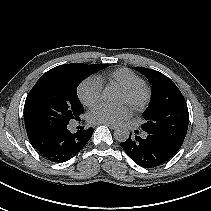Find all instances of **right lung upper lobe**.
Instances as JSON below:
<instances>
[{
    "label": "right lung upper lobe",
    "mask_w": 211,
    "mask_h": 211,
    "mask_svg": "<svg viewBox=\"0 0 211 211\" xmlns=\"http://www.w3.org/2000/svg\"><path fill=\"white\" fill-rule=\"evenodd\" d=\"M77 63L59 65L44 73L41 77H60L73 70Z\"/></svg>",
    "instance_id": "right-lung-upper-lobe-1"
}]
</instances>
